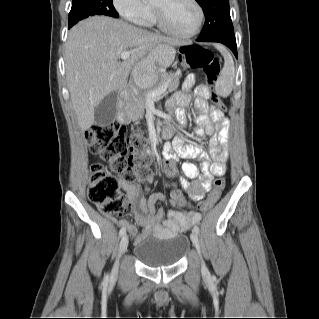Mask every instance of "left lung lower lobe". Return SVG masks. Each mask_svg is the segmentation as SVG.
<instances>
[{
    "label": "left lung lower lobe",
    "instance_id": "1",
    "mask_svg": "<svg viewBox=\"0 0 319 319\" xmlns=\"http://www.w3.org/2000/svg\"><path fill=\"white\" fill-rule=\"evenodd\" d=\"M219 43H222V44L226 45L227 47H229L237 58L236 40H223V41H220Z\"/></svg>",
    "mask_w": 319,
    "mask_h": 319
}]
</instances>
